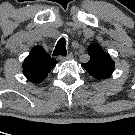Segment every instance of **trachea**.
<instances>
[{
    "label": "trachea",
    "mask_w": 135,
    "mask_h": 135,
    "mask_svg": "<svg viewBox=\"0 0 135 135\" xmlns=\"http://www.w3.org/2000/svg\"><path fill=\"white\" fill-rule=\"evenodd\" d=\"M66 56V40L64 38H61L58 43L56 44V47L53 51V56Z\"/></svg>",
    "instance_id": "trachea-1"
}]
</instances>
